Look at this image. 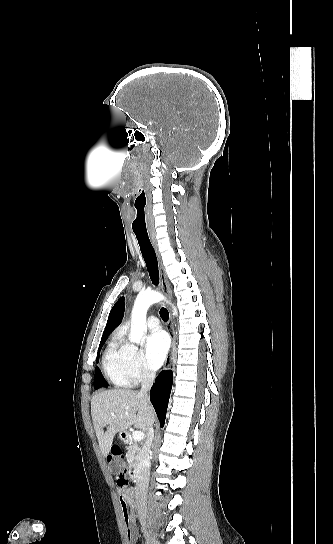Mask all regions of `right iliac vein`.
I'll return each mask as SVG.
<instances>
[{
  "label": "right iliac vein",
  "instance_id": "1",
  "mask_svg": "<svg viewBox=\"0 0 333 544\" xmlns=\"http://www.w3.org/2000/svg\"><path fill=\"white\" fill-rule=\"evenodd\" d=\"M146 538L148 544H159L155 539H153L150 534L145 530Z\"/></svg>",
  "mask_w": 333,
  "mask_h": 544
}]
</instances>
